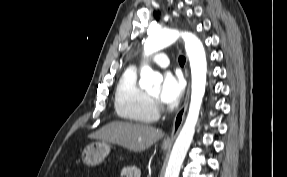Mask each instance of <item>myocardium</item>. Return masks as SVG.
I'll return each mask as SVG.
<instances>
[{"instance_id": "obj_1", "label": "myocardium", "mask_w": 287, "mask_h": 177, "mask_svg": "<svg viewBox=\"0 0 287 177\" xmlns=\"http://www.w3.org/2000/svg\"><path fill=\"white\" fill-rule=\"evenodd\" d=\"M150 98L152 99V101H154L155 104H157L158 106H161V104L159 103L158 97H155L150 94Z\"/></svg>"}]
</instances>
